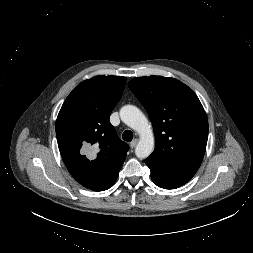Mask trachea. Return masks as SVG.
Returning <instances> with one entry per match:
<instances>
[{"label":"trachea","mask_w":253,"mask_h":253,"mask_svg":"<svg viewBox=\"0 0 253 253\" xmlns=\"http://www.w3.org/2000/svg\"><path fill=\"white\" fill-rule=\"evenodd\" d=\"M122 138L124 141L130 142L133 139V133L130 130H125Z\"/></svg>","instance_id":"3493384b"}]
</instances>
